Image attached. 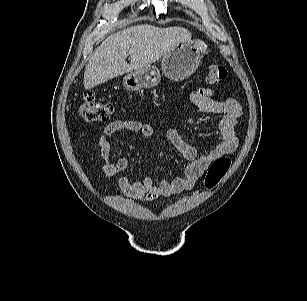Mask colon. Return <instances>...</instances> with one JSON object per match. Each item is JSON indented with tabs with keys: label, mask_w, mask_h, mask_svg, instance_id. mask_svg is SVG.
Listing matches in <instances>:
<instances>
[{
	"label": "colon",
	"mask_w": 307,
	"mask_h": 301,
	"mask_svg": "<svg viewBox=\"0 0 307 301\" xmlns=\"http://www.w3.org/2000/svg\"><path fill=\"white\" fill-rule=\"evenodd\" d=\"M228 78V71L222 65H209L207 68V80L211 84H217ZM113 105L96 99L93 93H86L80 106V114L84 121L95 123L103 122L110 118L113 113ZM231 161L227 157H219L210 165L206 177L207 189L214 188L224 177L230 167Z\"/></svg>",
	"instance_id": "obj_1"
}]
</instances>
